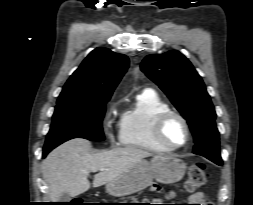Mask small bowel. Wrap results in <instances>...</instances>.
I'll list each match as a JSON object with an SVG mask.
<instances>
[{
    "label": "small bowel",
    "mask_w": 253,
    "mask_h": 205,
    "mask_svg": "<svg viewBox=\"0 0 253 205\" xmlns=\"http://www.w3.org/2000/svg\"><path fill=\"white\" fill-rule=\"evenodd\" d=\"M152 191L159 190V187L157 185L151 186ZM189 202L193 203L191 205H211V203L206 199L204 193L202 192H195L191 194L188 198Z\"/></svg>",
    "instance_id": "small-bowel-1"
}]
</instances>
